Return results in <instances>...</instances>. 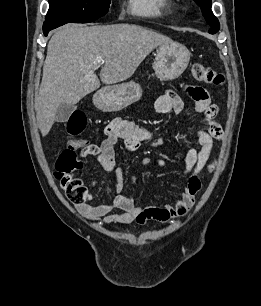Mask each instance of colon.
<instances>
[{"mask_svg": "<svg viewBox=\"0 0 261 306\" xmlns=\"http://www.w3.org/2000/svg\"><path fill=\"white\" fill-rule=\"evenodd\" d=\"M191 74L196 81L204 84L221 86L224 83V76L221 73L206 67L200 62L193 63ZM66 127L69 135L68 147L62 151L57 160L55 176L60 181L69 200L79 204L84 200L85 187L82 181L73 174L81 167L76 150L83 148L90 155H96L99 152V148L77 138L86 127V116L84 113L74 112L69 117Z\"/></svg>", "mask_w": 261, "mask_h": 306, "instance_id": "colon-1", "label": "colon"}]
</instances>
